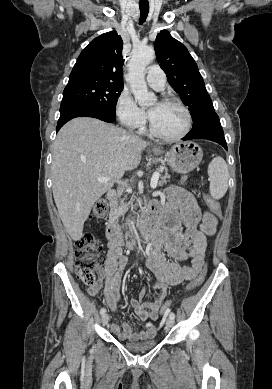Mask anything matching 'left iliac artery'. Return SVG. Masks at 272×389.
<instances>
[{"mask_svg":"<svg viewBox=\"0 0 272 389\" xmlns=\"http://www.w3.org/2000/svg\"><path fill=\"white\" fill-rule=\"evenodd\" d=\"M169 317H170L171 319H174V318H175V314H174L173 312H171L170 315H169Z\"/></svg>","mask_w":272,"mask_h":389,"instance_id":"1","label":"left iliac artery"}]
</instances>
